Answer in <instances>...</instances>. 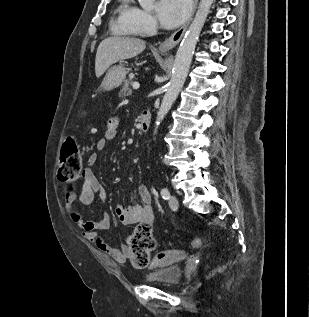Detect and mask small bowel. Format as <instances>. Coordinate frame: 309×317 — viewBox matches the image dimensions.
Segmentation results:
<instances>
[{
    "label": "small bowel",
    "mask_w": 309,
    "mask_h": 317,
    "mask_svg": "<svg viewBox=\"0 0 309 317\" xmlns=\"http://www.w3.org/2000/svg\"><path fill=\"white\" fill-rule=\"evenodd\" d=\"M118 132V120H109L104 138L96 144L98 151H104L107 143L116 138ZM98 161L97 153H91L87 158V167L82 171L83 185L80 192L68 189L65 193V208L71 220L78 225L82 236L94 244L102 253L110 256L118 263H124L132 257V250L129 246L123 245L121 248L110 246L100 233L110 227V217L103 213L97 221H86L78 210L77 203L88 206L91 205L96 196L104 195V188L97 179L93 167ZM138 196L141 201L139 205L125 207L121 204L114 206L118 220L123 224L142 223L151 225L153 221L152 196L145 186L138 187Z\"/></svg>",
    "instance_id": "c3829d8e"
}]
</instances>
